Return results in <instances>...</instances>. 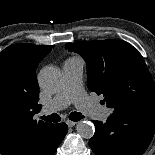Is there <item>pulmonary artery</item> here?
<instances>
[{
	"mask_svg": "<svg viewBox=\"0 0 155 155\" xmlns=\"http://www.w3.org/2000/svg\"><path fill=\"white\" fill-rule=\"evenodd\" d=\"M84 63L79 58H68L63 62V83L49 104L43 107L42 114L47 115L66 108L70 104L92 119L106 120L111 111L92 101L84 92Z\"/></svg>",
	"mask_w": 155,
	"mask_h": 155,
	"instance_id": "e3ab8cb5",
	"label": "pulmonary artery"
}]
</instances>
